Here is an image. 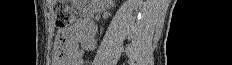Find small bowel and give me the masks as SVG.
Wrapping results in <instances>:
<instances>
[{
  "label": "small bowel",
  "instance_id": "1",
  "mask_svg": "<svg viewBox=\"0 0 232 65\" xmlns=\"http://www.w3.org/2000/svg\"><path fill=\"white\" fill-rule=\"evenodd\" d=\"M90 34L83 21L58 33L64 39V48L69 57L68 65H82V53L95 49L96 42Z\"/></svg>",
  "mask_w": 232,
  "mask_h": 65
}]
</instances>
